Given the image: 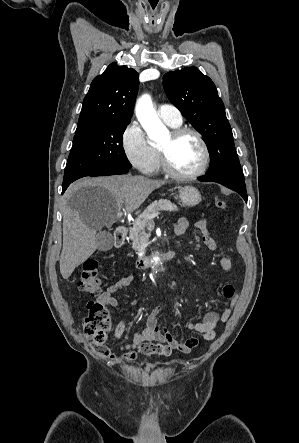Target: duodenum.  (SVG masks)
I'll use <instances>...</instances> for the list:
<instances>
[{"label":"duodenum","mask_w":299,"mask_h":443,"mask_svg":"<svg viewBox=\"0 0 299 443\" xmlns=\"http://www.w3.org/2000/svg\"><path fill=\"white\" fill-rule=\"evenodd\" d=\"M125 235H126V227L125 226H119L114 231V246L115 247H122L125 243ZM176 256L175 250H169L164 254V257L166 259H172ZM150 265V259L145 256H139L137 257L135 261V267L137 269H146Z\"/></svg>","instance_id":"duodenum-1"}]
</instances>
